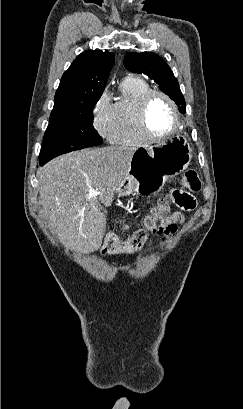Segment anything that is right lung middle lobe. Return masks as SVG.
Segmentation results:
<instances>
[{
    "label": "right lung middle lobe",
    "mask_w": 243,
    "mask_h": 409,
    "mask_svg": "<svg viewBox=\"0 0 243 409\" xmlns=\"http://www.w3.org/2000/svg\"><path fill=\"white\" fill-rule=\"evenodd\" d=\"M96 103L54 104L42 147L101 145L103 141L93 127V108Z\"/></svg>",
    "instance_id": "dd1d6c3e"
}]
</instances>
